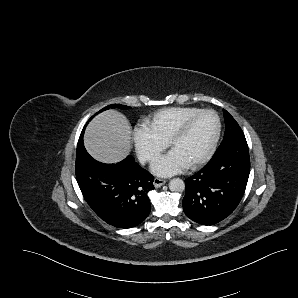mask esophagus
<instances>
[{
	"mask_svg": "<svg viewBox=\"0 0 298 298\" xmlns=\"http://www.w3.org/2000/svg\"><path fill=\"white\" fill-rule=\"evenodd\" d=\"M165 183H166V180L160 179L157 177L153 181V185L155 188H159V187L163 186Z\"/></svg>",
	"mask_w": 298,
	"mask_h": 298,
	"instance_id": "esophagus-1",
	"label": "esophagus"
}]
</instances>
